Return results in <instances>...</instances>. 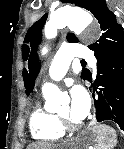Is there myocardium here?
<instances>
[{"label":"myocardium","instance_id":"myocardium-1","mask_svg":"<svg viewBox=\"0 0 124 149\" xmlns=\"http://www.w3.org/2000/svg\"><path fill=\"white\" fill-rule=\"evenodd\" d=\"M59 125L61 126L62 129L64 130H69V131H73L78 129L82 123L81 122H73L72 120H70L68 117L63 116L61 114H56Z\"/></svg>","mask_w":124,"mask_h":149}]
</instances>
